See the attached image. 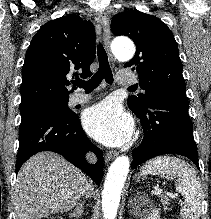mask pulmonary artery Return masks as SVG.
<instances>
[{
    "instance_id": "e3ab8cb5",
    "label": "pulmonary artery",
    "mask_w": 211,
    "mask_h": 219,
    "mask_svg": "<svg viewBox=\"0 0 211 219\" xmlns=\"http://www.w3.org/2000/svg\"><path fill=\"white\" fill-rule=\"evenodd\" d=\"M117 80L122 84H133L136 82L135 77L129 71H120L117 74ZM91 99V95L75 93L70 96V105L86 103Z\"/></svg>"
}]
</instances>
